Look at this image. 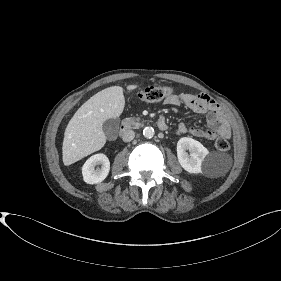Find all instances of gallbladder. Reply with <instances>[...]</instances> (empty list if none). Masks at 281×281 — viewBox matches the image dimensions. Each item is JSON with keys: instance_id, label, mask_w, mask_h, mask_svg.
Returning <instances> with one entry per match:
<instances>
[{"instance_id": "obj_1", "label": "gallbladder", "mask_w": 281, "mask_h": 281, "mask_svg": "<svg viewBox=\"0 0 281 281\" xmlns=\"http://www.w3.org/2000/svg\"><path fill=\"white\" fill-rule=\"evenodd\" d=\"M119 130V119H108L103 123V132L108 139H114Z\"/></svg>"}]
</instances>
